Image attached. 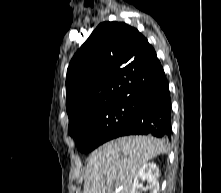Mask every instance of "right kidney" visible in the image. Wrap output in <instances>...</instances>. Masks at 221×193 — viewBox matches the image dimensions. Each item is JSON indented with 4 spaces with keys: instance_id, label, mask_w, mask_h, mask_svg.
Instances as JSON below:
<instances>
[{
    "instance_id": "right-kidney-1",
    "label": "right kidney",
    "mask_w": 221,
    "mask_h": 193,
    "mask_svg": "<svg viewBox=\"0 0 221 193\" xmlns=\"http://www.w3.org/2000/svg\"><path fill=\"white\" fill-rule=\"evenodd\" d=\"M159 168L153 163H145L138 171L134 178L132 189L130 193H142V191H149V193H158L159 191ZM147 182V186H143V182Z\"/></svg>"
}]
</instances>
